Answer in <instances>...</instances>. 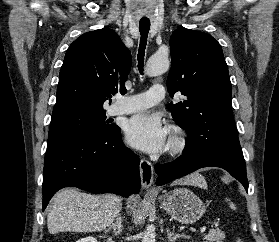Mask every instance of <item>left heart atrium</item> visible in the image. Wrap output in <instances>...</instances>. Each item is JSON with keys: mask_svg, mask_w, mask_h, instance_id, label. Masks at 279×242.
Listing matches in <instances>:
<instances>
[{"mask_svg": "<svg viewBox=\"0 0 279 242\" xmlns=\"http://www.w3.org/2000/svg\"><path fill=\"white\" fill-rule=\"evenodd\" d=\"M125 135L131 146L152 154L164 152L169 145V130L154 113H141L130 118Z\"/></svg>", "mask_w": 279, "mask_h": 242, "instance_id": "1", "label": "left heart atrium"}]
</instances>
